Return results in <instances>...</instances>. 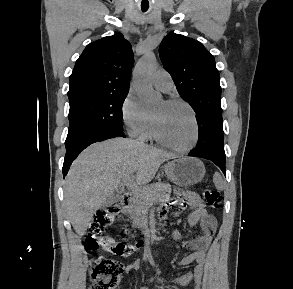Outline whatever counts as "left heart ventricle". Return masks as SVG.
Here are the masks:
<instances>
[{
    "label": "left heart ventricle",
    "mask_w": 293,
    "mask_h": 289,
    "mask_svg": "<svg viewBox=\"0 0 293 289\" xmlns=\"http://www.w3.org/2000/svg\"><path fill=\"white\" fill-rule=\"evenodd\" d=\"M152 117L164 140L179 147L191 143L194 124L191 113L185 106L163 101L153 110Z\"/></svg>",
    "instance_id": "1"
}]
</instances>
